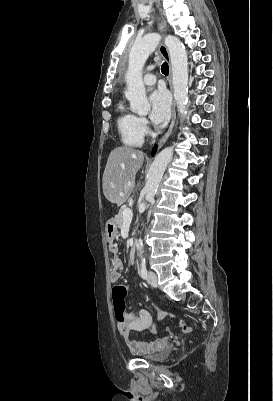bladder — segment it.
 <instances>
[{
    "label": "bladder",
    "instance_id": "31cf9c89",
    "mask_svg": "<svg viewBox=\"0 0 273 401\" xmlns=\"http://www.w3.org/2000/svg\"><path fill=\"white\" fill-rule=\"evenodd\" d=\"M171 353H172V348L170 346H166L153 354L142 355L140 356V358L148 362H161L166 360L171 355Z\"/></svg>",
    "mask_w": 273,
    "mask_h": 401
}]
</instances>
